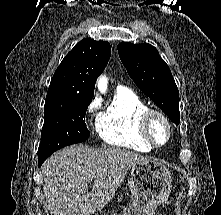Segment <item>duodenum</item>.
Segmentation results:
<instances>
[{
	"mask_svg": "<svg viewBox=\"0 0 221 215\" xmlns=\"http://www.w3.org/2000/svg\"><path fill=\"white\" fill-rule=\"evenodd\" d=\"M86 215H93V213H92V212H89V213H87Z\"/></svg>",
	"mask_w": 221,
	"mask_h": 215,
	"instance_id": "obj_1",
	"label": "duodenum"
}]
</instances>
